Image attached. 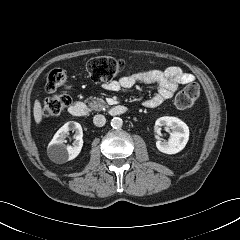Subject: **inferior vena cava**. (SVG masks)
Returning <instances> with one entry per match:
<instances>
[{
  "mask_svg": "<svg viewBox=\"0 0 240 240\" xmlns=\"http://www.w3.org/2000/svg\"><path fill=\"white\" fill-rule=\"evenodd\" d=\"M93 123L97 127H102L106 123V118H105L104 115H101V114L95 115L94 118H93Z\"/></svg>",
  "mask_w": 240,
  "mask_h": 240,
  "instance_id": "1",
  "label": "inferior vena cava"
}]
</instances>
